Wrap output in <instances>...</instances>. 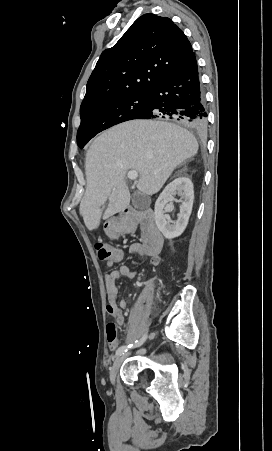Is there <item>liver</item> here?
Listing matches in <instances>:
<instances>
[{
    "label": "liver",
    "mask_w": 272,
    "mask_h": 451,
    "mask_svg": "<svg viewBox=\"0 0 272 451\" xmlns=\"http://www.w3.org/2000/svg\"><path fill=\"white\" fill-rule=\"evenodd\" d=\"M198 142L188 130L158 120H131L102 132L91 144L85 162L86 192L80 214L88 229L99 226L101 206L109 200L103 220L130 204L125 182L128 170L140 176L137 188L146 196L157 194L181 162L196 156Z\"/></svg>",
    "instance_id": "1"
}]
</instances>
